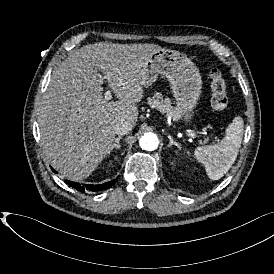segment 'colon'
Segmentation results:
<instances>
[{
    "label": "colon",
    "mask_w": 274,
    "mask_h": 274,
    "mask_svg": "<svg viewBox=\"0 0 274 274\" xmlns=\"http://www.w3.org/2000/svg\"><path fill=\"white\" fill-rule=\"evenodd\" d=\"M212 95L210 105L215 110H223L228 107L229 94L224 78L218 68H211L208 74Z\"/></svg>",
    "instance_id": "obj_1"
}]
</instances>
